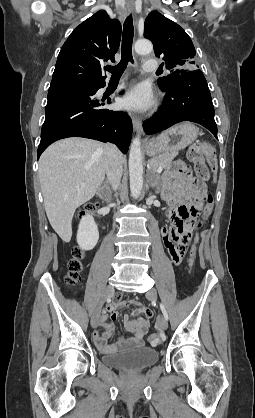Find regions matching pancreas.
Wrapping results in <instances>:
<instances>
[{"label":"pancreas","instance_id":"1","mask_svg":"<svg viewBox=\"0 0 255 418\" xmlns=\"http://www.w3.org/2000/svg\"><path fill=\"white\" fill-rule=\"evenodd\" d=\"M178 155V152L167 153L158 155L149 160L150 165L153 169H158L159 167L166 168L168 167L172 160Z\"/></svg>","mask_w":255,"mask_h":418}]
</instances>
